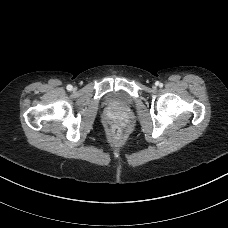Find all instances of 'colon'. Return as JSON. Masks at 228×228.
<instances>
[{
	"instance_id": "obj_1",
	"label": "colon",
	"mask_w": 228,
	"mask_h": 228,
	"mask_svg": "<svg viewBox=\"0 0 228 228\" xmlns=\"http://www.w3.org/2000/svg\"><path fill=\"white\" fill-rule=\"evenodd\" d=\"M111 138L113 141H120L122 138V132L118 126L113 127L111 131Z\"/></svg>"
}]
</instances>
